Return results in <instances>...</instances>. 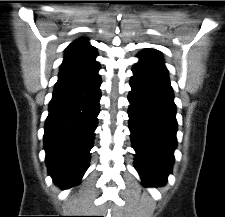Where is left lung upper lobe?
Returning a JSON list of instances; mask_svg holds the SVG:
<instances>
[{
    "label": "left lung upper lobe",
    "instance_id": "obj_1",
    "mask_svg": "<svg viewBox=\"0 0 225 217\" xmlns=\"http://www.w3.org/2000/svg\"><path fill=\"white\" fill-rule=\"evenodd\" d=\"M140 62L163 64L161 54L155 49H147L138 55Z\"/></svg>",
    "mask_w": 225,
    "mask_h": 217
}]
</instances>
